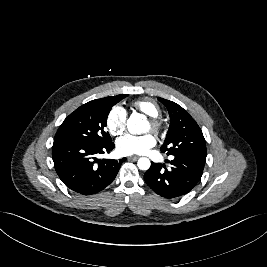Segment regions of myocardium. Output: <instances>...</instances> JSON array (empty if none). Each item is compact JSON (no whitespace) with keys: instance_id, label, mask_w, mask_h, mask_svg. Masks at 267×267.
Listing matches in <instances>:
<instances>
[{"instance_id":"myocardium-1","label":"myocardium","mask_w":267,"mask_h":267,"mask_svg":"<svg viewBox=\"0 0 267 267\" xmlns=\"http://www.w3.org/2000/svg\"><path fill=\"white\" fill-rule=\"evenodd\" d=\"M150 129L155 133H160L163 129V121L160 116L149 119Z\"/></svg>"}]
</instances>
